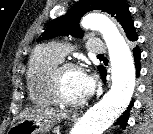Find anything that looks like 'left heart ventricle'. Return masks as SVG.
Returning <instances> with one entry per match:
<instances>
[{"mask_svg": "<svg viewBox=\"0 0 153 134\" xmlns=\"http://www.w3.org/2000/svg\"><path fill=\"white\" fill-rule=\"evenodd\" d=\"M84 73L77 70H66L62 75V91L67 99L82 100Z\"/></svg>", "mask_w": 153, "mask_h": 134, "instance_id": "obj_1", "label": "left heart ventricle"}]
</instances>
